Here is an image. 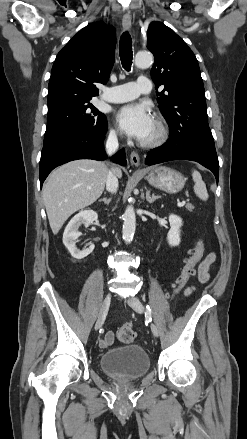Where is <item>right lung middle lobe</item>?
I'll use <instances>...</instances> for the list:
<instances>
[{"label": "right lung middle lobe", "mask_w": 247, "mask_h": 439, "mask_svg": "<svg viewBox=\"0 0 247 439\" xmlns=\"http://www.w3.org/2000/svg\"><path fill=\"white\" fill-rule=\"evenodd\" d=\"M106 124V116L90 100L61 102L48 109L44 142L65 134L98 130Z\"/></svg>", "instance_id": "1"}]
</instances>
